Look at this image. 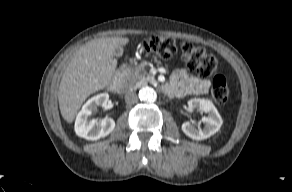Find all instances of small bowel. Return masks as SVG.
Instances as JSON below:
<instances>
[{"mask_svg":"<svg viewBox=\"0 0 292 192\" xmlns=\"http://www.w3.org/2000/svg\"><path fill=\"white\" fill-rule=\"evenodd\" d=\"M211 86L210 79L197 78L189 75L184 69L177 70L170 82L165 86V92L172 97L205 94Z\"/></svg>","mask_w":292,"mask_h":192,"instance_id":"c3829d8e","label":"small bowel"}]
</instances>
